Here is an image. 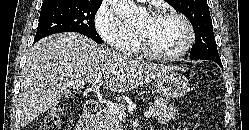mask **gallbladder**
I'll use <instances>...</instances> for the list:
<instances>
[{"label":"gallbladder","mask_w":249,"mask_h":130,"mask_svg":"<svg viewBox=\"0 0 249 130\" xmlns=\"http://www.w3.org/2000/svg\"><path fill=\"white\" fill-rule=\"evenodd\" d=\"M64 95H65L66 97H70V96H71V93H70V92H66Z\"/></svg>","instance_id":"obj_1"}]
</instances>
